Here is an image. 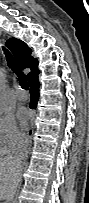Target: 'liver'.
<instances>
[{
    "mask_svg": "<svg viewBox=\"0 0 89 203\" xmlns=\"http://www.w3.org/2000/svg\"><path fill=\"white\" fill-rule=\"evenodd\" d=\"M19 179L18 162L12 156L0 158V198L11 199Z\"/></svg>",
    "mask_w": 89,
    "mask_h": 203,
    "instance_id": "obj_1",
    "label": "liver"
}]
</instances>
